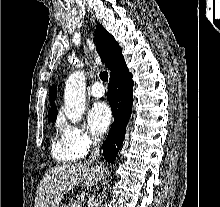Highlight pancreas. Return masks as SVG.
<instances>
[{
  "instance_id": "pancreas-1",
  "label": "pancreas",
  "mask_w": 220,
  "mask_h": 207,
  "mask_svg": "<svg viewBox=\"0 0 220 207\" xmlns=\"http://www.w3.org/2000/svg\"><path fill=\"white\" fill-rule=\"evenodd\" d=\"M78 206V203L74 200H72L67 207H77Z\"/></svg>"
}]
</instances>
